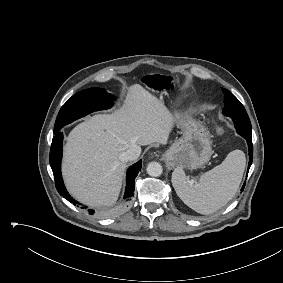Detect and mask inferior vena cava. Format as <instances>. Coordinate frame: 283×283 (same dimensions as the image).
I'll return each mask as SVG.
<instances>
[{"instance_id": "602c4592", "label": "inferior vena cava", "mask_w": 283, "mask_h": 283, "mask_svg": "<svg viewBox=\"0 0 283 283\" xmlns=\"http://www.w3.org/2000/svg\"><path fill=\"white\" fill-rule=\"evenodd\" d=\"M140 153H141L140 146L134 145L129 149H127L126 151H124L121 154V157L124 161L136 160L139 157Z\"/></svg>"}]
</instances>
